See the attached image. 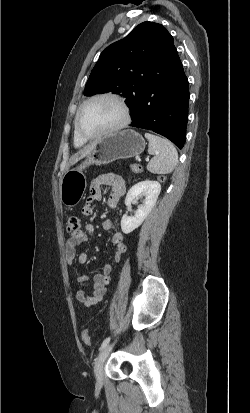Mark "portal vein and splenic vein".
<instances>
[{"label":"portal vein and splenic vein","instance_id":"1","mask_svg":"<svg viewBox=\"0 0 250 413\" xmlns=\"http://www.w3.org/2000/svg\"><path fill=\"white\" fill-rule=\"evenodd\" d=\"M146 161H149V158H146Z\"/></svg>","mask_w":250,"mask_h":413}]
</instances>
